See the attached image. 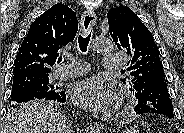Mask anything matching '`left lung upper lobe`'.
<instances>
[{"mask_svg":"<svg viewBox=\"0 0 184 133\" xmlns=\"http://www.w3.org/2000/svg\"><path fill=\"white\" fill-rule=\"evenodd\" d=\"M109 31L119 50L132 57L127 70L132 76L124 79L133 93L149 85L159 70H163L159 51L148 28L127 6H119L107 13ZM161 96V94H160Z\"/></svg>","mask_w":184,"mask_h":133,"instance_id":"1","label":"left lung upper lobe"}]
</instances>
